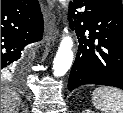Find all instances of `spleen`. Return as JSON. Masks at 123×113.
Listing matches in <instances>:
<instances>
[{
    "instance_id": "3e777b00",
    "label": "spleen",
    "mask_w": 123,
    "mask_h": 113,
    "mask_svg": "<svg viewBox=\"0 0 123 113\" xmlns=\"http://www.w3.org/2000/svg\"><path fill=\"white\" fill-rule=\"evenodd\" d=\"M92 102L102 113H123V91L117 88H96L92 93Z\"/></svg>"
}]
</instances>
